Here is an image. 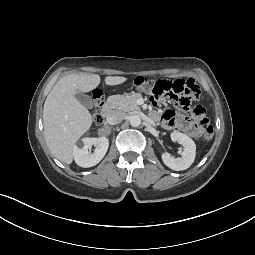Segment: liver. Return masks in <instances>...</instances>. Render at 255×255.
Instances as JSON below:
<instances>
[{"label":"liver","mask_w":255,"mask_h":255,"mask_svg":"<svg viewBox=\"0 0 255 255\" xmlns=\"http://www.w3.org/2000/svg\"><path fill=\"white\" fill-rule=\"evenodd\" d=\"M127 80L107 76L105 83L118 85ZM100 84L98 74L73 73L62 77L47 96L43 109L44 136L51 153L61 162H73V147L92 125V115L75 97Z\"/></svg>","instance_id":"obj_1"}]
</instances>
